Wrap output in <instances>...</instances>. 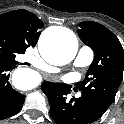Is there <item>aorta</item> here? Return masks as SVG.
Listing matches in <instances>:
<instances>
[{"instance_id": "obj_1", "label": "aorta", "mask_w": 124, "mask_h": 124, "mask_svg": "<svg viewBox=\"0 0 124 124\" xmlns=\"http://www.w3.org/2000/svg\"><path fill=\"white\" fill-rule=\"evenodd\" d=\"M39 51L42 57L52 65H65L71 62L78 50V41L68 29L45 30L39 40ZM31 72L18 69L13 74L14 84L21 89L33 88L29 83Z\"/></svg>"}]
</instances>
